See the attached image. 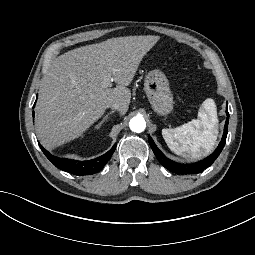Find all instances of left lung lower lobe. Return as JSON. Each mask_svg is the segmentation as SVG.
<instances>
[{
  "mask_svg": "<svg viewBox=\"0 0 255 255\" xmlns=\"http://www.w3.org/2000/svg\"><path fill=\"white\" fill-rule=\"evenodd\" d=\"M226 113H227V119H226L224 133H223V137H222L221 142L219 143L217 149L210 156H208L207 158H205L201 161H198V162L193 163V164L177 163V162H174V161L168 159L157 148V146L155 145V143L153 142V140L150 136L148 137L149 144H150L155 156L159 160V162L165 168H167L169 171L174 172L176 174H198V173L202 172L204 169H206L207 167H209L216 160V158L221 153L223 147L225 146L226 137H227V133H228V121H229L228 110H226Z\"/></svg>",
  "mask_w": 255,
  "mask_h": 255,
  "instance_id": "0a47b994",
  "label": "left lung lower lobe"
}]
</instances>
